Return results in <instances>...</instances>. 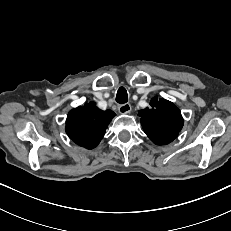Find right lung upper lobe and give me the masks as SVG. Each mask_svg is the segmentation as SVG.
Returning <instances> with one entry per match:
<instances>
[{"label": "right lung upper lobe", "instance_id": "cb5924a9", "mask_svg": "<svg viewBox=\"0 0 231 231\" xmlns=\"http://www.w3.org/2000/svg\"><path fill=\"white\" fill-rule=\"evenodd\" d=\"M114 116L113 111H102L94 102H89L68 113L66 133L76 144L87 149L95 148Z\"/></svg>", "mask_w": 231, "mask_h": 231}]
</instances>
